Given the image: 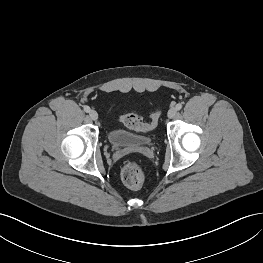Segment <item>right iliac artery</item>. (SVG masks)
Returning <instances> with one entry per match:
<instances>
[{
    "label": "right iliac artery",
    "mask_w": 263,
    "mask_h": 263,
    "mask_svg": "<svg viewBox=\"0 0 263 263\" xmlns=\"http://www.w3.org/2000/svg\"><path fill=\"white\" fill-rule=\"evenodd\" d=\"M84 111H85V112H90V107H89V106H87V105H86V106H84Z\"/></svg>",
    "instance_id": "1"
}]
</instances>
